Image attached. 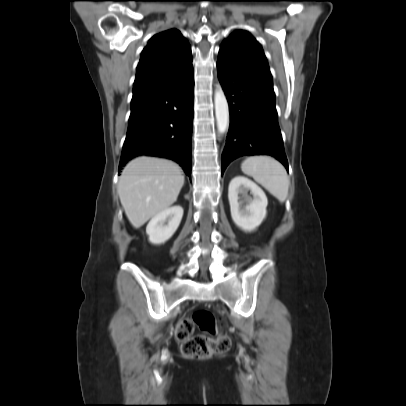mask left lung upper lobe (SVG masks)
Here are the masks:
<instances>
[{
  "label": "left lung upper lobe",
  "instance_id": "1",
  "mask_svg": "<svg viewBox=\"0 0 406 406\" xmlns=\"http://www.w3.org/2000/svg\"><path fill=\"white\" fill-rule=\"evenodd\" d=\"M219 56L229 58L272 80L261 45L247 31H234L222 43Z\"/></svg>",
  "mask_w": 406,
  "mask_h": 406
}]
</instances>
